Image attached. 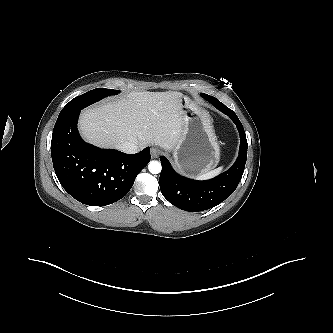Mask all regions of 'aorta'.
Masks as SVG:
<instances>
[{
  "label": "aorta",
  "instance_id": "obj_1",
  "mask_svg": "<svg viewBox=\"0 0 333 333\" xmlns=\"http://www.w3.org/2000/svg\"><path fill=\"white\" fill-rule=\"evenodd\" d=\"M162 166L161 163L159 161H151L148 164V170L152 173V174H158L161 172Z\"/></svg>",
  "mask_w": 333,
  "mask_h": 333
}]
</instances>
